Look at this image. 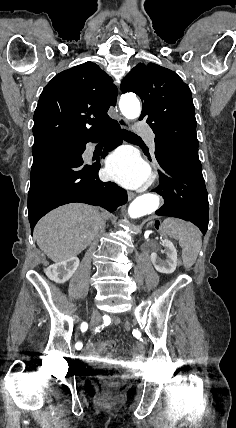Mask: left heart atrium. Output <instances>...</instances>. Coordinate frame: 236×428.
Wrapping results in <instances>:
<instances>
[{
  "label": "left heart atrium",
  "mask_w": 236,
  "mask_h": 428,
  "mask_svg": "<svg viewBox=\"0 0 236 428\" xmlns=\"http://www.w3.org/2000/svg\"><path fill=\"white\" fill-rule=\"evenodd\" d=\"M106 175L123 186L137 188L148 175L146 165L130 149H120L108 159Z\"/></svg>",
  "instance_id": "obj_1"
}]
</instances>
